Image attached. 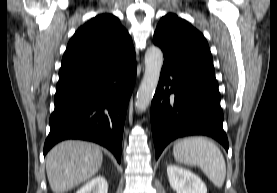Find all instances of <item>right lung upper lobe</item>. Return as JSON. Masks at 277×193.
Segmentation results:
<instances>
[{"label":"right lung upper lobe","instance_id":"obj_1","mask_svg":"<svg viewBox=\"0 0 277 193\" xmlns=\"http://www.w3.org/2000/svg\"><path fill=\"white\" fill-rule=\"evenodd\" d=\"M131 57H135L132 40L119 19L101 14L81 26L69 41L59 81L99 73Z\"/></svg>","mask_w":277,"mask_h":193}]
</instances>
